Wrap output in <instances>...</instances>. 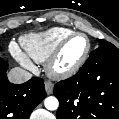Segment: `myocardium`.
I'll list each match as a JSON object with an SVG mask.
<instances>
[{"label":"myocardium","instance_id":"1","mask_svg":"<svg viewBox=\"0 0 119 119\" xmlns=\"http://www.w3.org/2000/svg\"><path fill=\"white\" fill-rule=\"evenodd\" d=\"M77 36H81L86 39L87 47H86L84 54L74 65L68 68H59L57 64H58L59 58L61 56V53L64 47L72 38L77 37ZM91 48H92L91 41L86 34L81 33V32H72L71 34L63 38L58 43L56 48L53 50L51 55L46 60L45 70L47 74L51 78H54V79H65V78H69L75 75L82 68V66L85 64V62L89 58V55L91 53Z\"/></svg>","mask_w":119,"mask_h":119}]
</instances>
